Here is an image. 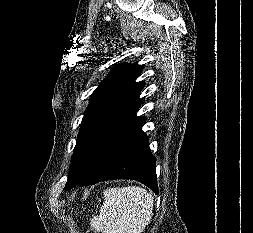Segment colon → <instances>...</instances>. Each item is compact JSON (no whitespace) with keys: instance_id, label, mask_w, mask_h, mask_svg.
I'll use <instances>...</instances> for the list:
<instances>
[{"instance_id":"1","label":"colon","mask_w":253,"mask_h":233,"mask_svg":"<svg viewBox=\"0 0 253 233\" xmlns=\"http://www.w3.org/2000/svg\"><path fill=\"white\" fill-rule=\"evenodd\" d=\"M86 233H97L96 230L92 227H88Z\"/></svg>"}]
</instances>
